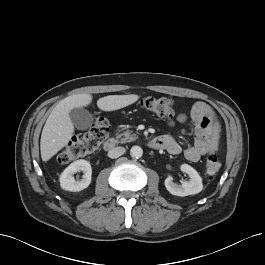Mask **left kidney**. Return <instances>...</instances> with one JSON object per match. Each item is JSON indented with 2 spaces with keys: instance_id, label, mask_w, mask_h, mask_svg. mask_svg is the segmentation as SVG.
<instances>
[{
  "instance_id": "1",
  "label": "left kidney",
  "mask_w": 265,
  "mask_h": 265,
  "mask_svg": "<svg viewBox=\"0 0 265 265\" xmlns=\"http://www.w3.org/2000/svg\"><path fill=\"white\" fill-rule=\"evenodd\" d=\"M180 169L181 171L188 174L190 181L182 182V184L179 185L173 182L172 177H167L164 182L166 189L172 195L181 197L194 195L201 192L203 189V184L202 178L200 177L198 172L188 164L181 165Z\"/></svg>"
}]
</instances>
